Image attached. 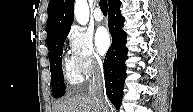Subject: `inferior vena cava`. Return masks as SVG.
<instances>
[{"instance_id": "602c4592", "label": "inferior vena cava", "mask_w": 193, "mask_h": 112, "mask_svg": "<svg viewBox=\"0 0 193 112\" xmlns=\"http://www.w3.org/2000/svg\"><path fill=\"white\" fill-rule=\"evenodd\" d=\"M89 93L96 96L101 112H109L108 102L104 95V76L101 62H94L89 80Z\"/></svg>"}]
</instances>
